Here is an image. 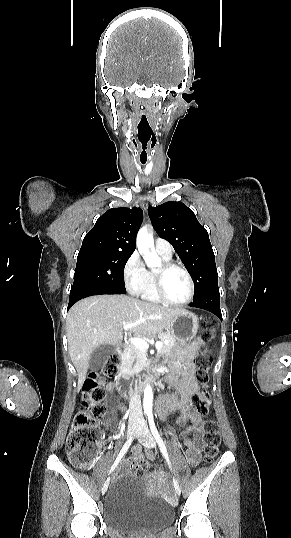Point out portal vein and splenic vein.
<instances>
[{
  "label": "portal vein and splenic vein",
  "instance_id": "obj_1",
  "mask_svg": "<svg viewBox=\"0 0 291 538\" xmlns=\"http://www.w3.org/2000/svg\"><path fill=\"white\" fill-rule=\"evenodd\" d=\"M136 325H137L136 323H132V322L125 323V324L123 325V329H124V330H129V329H131L132 327H134V326H136ZM130 342H131V344H132L133 346H135L136 348L141 349V350H145V349H148V348H149V344H148L145 340H143V339H141V338H137V337H136V338H131V339H130ZM166 342H167V341H166ZM162 345H163V342H162V341H157V342L155 343V347H156L157 349H160V348L162 347Z\"/></svg>",
  "mask_w": 291,
  "mask_h": 538
}]
</instances>
